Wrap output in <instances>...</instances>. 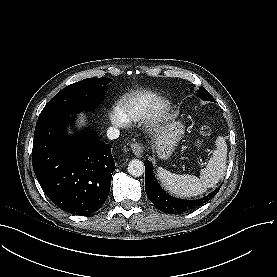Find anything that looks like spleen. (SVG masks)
I'll return each instance as SVG.
<instances>
[{"mask_svg": "<svg viewBox=\"0 0 277 277\" xmlns=\"http://www.w3.org/2000/svg\"><path fill=\"white\" fill-rule=\"evenodd\" d=\"M227 161V144L225 139L219 136L216 139V149L214 150L206 167L200 171V178L184 174L171 173L159 167L157 176L170 193L178 197L197 196L207 191L208 188L215 186L224 176Z\"/></svg>", "mask_w": 277, "mask_h": 277, "instance_id": "spleen-1", "label": "spleen"}]
</instances>
